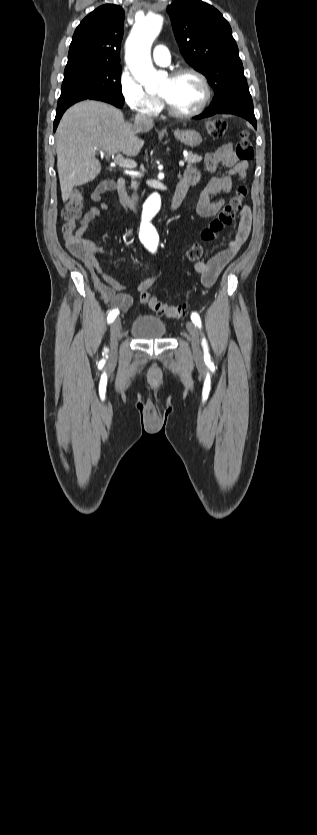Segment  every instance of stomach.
Wrapping results in <instances>:
<instances>
[{
    "instance_id": "obj_1",
    "label": "stomach",
    "mask_w": 317,
    "mask_h": 835,
    "mask_svg": "<svg viewBox=\"0 0 317 835\" xmlns=\"http://www.w3.org/2000/svg\"><path fill=\"white\" fill-rule=\"evenodd\" d=\"M174 136L176 139L190 147L199 146L202 142V137L199 132L191 129H177L174 131Z\"/></svg>"
}]
</instances>
